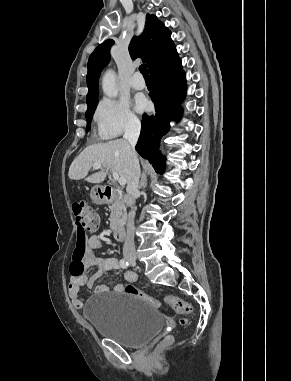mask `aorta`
Returning <instances> with one entry per match:
<instances>
[{
	"label": "aorta",
	"mask_w": 291,
	"mask_h": 381,
	"mask_svg": "<svg viewBox=\"0 0 291 381\" xmlns=\"http://www.w3.org/2000/svg\"><path fill=\"white\" fill-rule=\"evenodd\" d=\"M102 89L105 95L114 98L117 96L118 91L116 88V74L113 70H108L102 79Z\"/></svg>",
	"instance_id": "aorta-1"
}]
</instances>
